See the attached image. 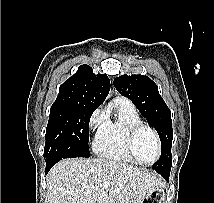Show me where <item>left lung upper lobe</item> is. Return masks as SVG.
<instances>
[{
    "label": "left lung upper lobe",
    "instance_id": "5c2ea615",
    "mask_svg": "<svg viewBox=\"0 0 214 203\" xmlns=\"http://www.w3.org/2000/svg\"><path fill=\"white\" fill-rule=\"evenodd\" d=\"M114 86L121 95L134 103L148 124L159 134L162 152L152 168L159 174L170 172L173 140L171 111L160 96L157 85L147 76L124 74L115 78Z\"/></svg>",
    "mask_w": 214,
    "mask_h": 203
}]
</instances>
